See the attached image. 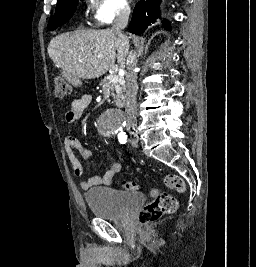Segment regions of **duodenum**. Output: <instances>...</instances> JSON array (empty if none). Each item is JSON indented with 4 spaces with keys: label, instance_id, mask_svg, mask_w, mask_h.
I'll list each match as a JSON object with an SVG mask.
<instances>
[{
    "label": "duodenum",
    "instance_id": "1",
    "mask_svg": "<svg viewBox=\"0 0 256 267\" xmlns=\"http://www.w3.org/2000/svg\"><path fill=\"white\" fill-rule=\"evenodd\" d=\"M64 79H66L67 82H70L72 86H82L81 78L75 77V74H67V71H64ZM116 103L120 109H124L126 107L124 99H117Z\"/></svg>",
    "mask_w": 256,
    "mask_h": 267
}]
</instances>
